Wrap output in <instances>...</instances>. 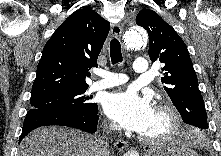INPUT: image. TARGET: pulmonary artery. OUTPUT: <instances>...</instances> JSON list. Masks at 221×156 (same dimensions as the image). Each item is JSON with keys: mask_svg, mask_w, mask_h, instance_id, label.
<instances>
[{"mask_svg": "<svg viewBox=\"0 0 221 156\" xmlns=\"http://www.w3.org/2000/svg\"><path fill=\"white\" fill-rule=\"evenodd\" d=\"M133 70L137 74H145L148 71V62L145 58L139 57L133 63ZM98 75L102 78L90 86L91 91L111 88L128 81V77L122 73L100 71Z\"/></svg>", "mask_w": 221, "mask_h": 156, "instance_id": "pulmonary-artery-1", "label": "pulmonary artery"}]
</instances>
